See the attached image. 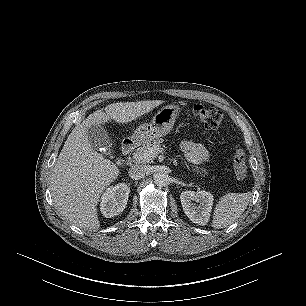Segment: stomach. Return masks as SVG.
<instances>
[{
	"label": "stomach",
	"instance_id": "0dacf381",
	"mask_svg": "<svg viewBox=\"0 0 306 306\" xmlns=\"http://www.w3.org/2000/svg\"><path fill=\"white\" fill-rule=\"evenodd\" d=\"M180 111L178 105L164 106L154 115L150 123L140 125L131 138L137 143H148L167 135L173 129Z\"/></svg>",
	"mask_w": 306,
	"mask_h": 306
}]
</instances>
